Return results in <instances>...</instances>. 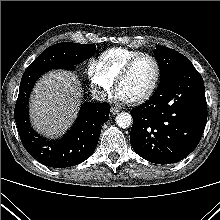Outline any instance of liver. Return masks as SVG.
Returning <instances> with one entry per match:
<instances>
[{"mask_svg":"<svg viewBox=\"0 0 220 220\" xmlns=\"http://www.w3.org/2000/svg\"><path fill=\"white\" fill-rule=\"evenodd\" d=\"M82 97L81 83L67 71H51L36 83L30 97V119L41 134H62L77 116Z\"/></svg>","mask_w":220,"mask_h":220,"instance_id":"6515ba94","label":"liver"}]
</instances>
